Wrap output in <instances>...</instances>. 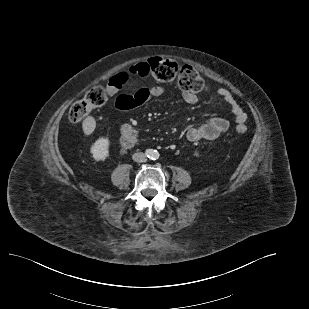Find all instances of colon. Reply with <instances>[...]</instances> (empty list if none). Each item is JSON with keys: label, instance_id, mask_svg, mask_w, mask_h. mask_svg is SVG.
Listing matches in <instances>:
<instances>
[{"label": "colon", "instance_id": "colon-1", "mask_svg": "<svg viewBox=\"0 0 309 309\" xmlns=\"http://www.w3.org/2000/svg\"><path fill=\"white\" fill-rule=\"evenodd\" d=\"M150 72L154 78L161 82L177 80L180 89L188 93H202L208 90L200 74L189 65H180L171 59L152 58L148 60ZM106 91L101 86L91 88L83 99L75 102L70 111L69 118L73 123L81 122L93 109L106 103ZM236 131L243 134L247 131L244 124H238Z\"/></svg>", "mask_w": 309, "mask_h": 309}]
</instances>
